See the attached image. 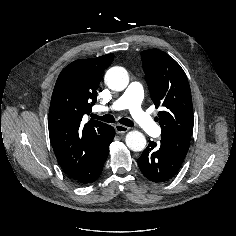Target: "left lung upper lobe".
Returning <instances> with one entry per match:
<instances>
[{
	"label": "left lung upper lobe",
	"mask_w": 236,
	"mask_h": 236,
	"mask_svg": "<svg viewBox=\"0 0 236 236\" xmlns=\"http://www.w3.org/2000/svg\"><path fill=\"white\" fill-rule=\"evenodd\" d=\"M146 82L155 107H162L155 119L162 128L160 145L184 159L193 132L190 86L181 66L158 49L141 54Z\"/></svg>",
	"instance_id": "5c2ea615"
}]
</instances>
